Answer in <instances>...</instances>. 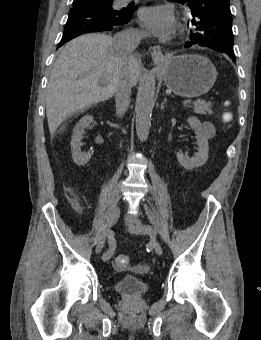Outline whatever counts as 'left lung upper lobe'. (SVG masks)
Masks as SVG:
<instances>
[{
    "instance_id": "1",
    "label": "left lung upper lobe",
    "mask_w": 261,
    "mask_h": 340,
    "mask_svg": "<svg viewBox=\"0 0 261 340\" xmlns=\"http://www.w3.org/2000/svg\"><path fill=\"white\" fill-rule=\"evenodd\" d=\"M189 7L192 16L196 18L191 20L196 26L195 31L190 33L192 44L205 46L218 52L221 50L234 52L229 0H192ZM209 8L216 9L211 15L201 17L202 14L208 13ZM221 10H227L228 13Z\"/></svg>"
}]
</instances>
